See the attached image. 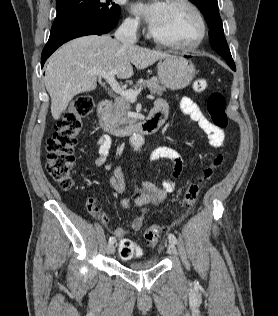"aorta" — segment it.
Returning a JSON list of instances; mask_svg holds the SVG:
<instances>
[{"label":"aorta","mask_w":278,"mask_h":316,"mask_svg":"<svg viewBox=\"0 0 278 316\" xmlns=\"http://www.w3.org/2000/svg\"><path fill=\"white\" fill-rule=\"evenodd\" d=\"M130 143L133 146V148L138 151V150H140V148L144 144V139L142 138L141 135L134 134L130 138Z\"/></svg>","instance_id":"762f6f07"}]
</instances>
